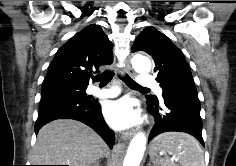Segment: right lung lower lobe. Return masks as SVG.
Instances as JSON below:
<instances>
[{"mask_svg":"<svg viewBox=\"0 0 236 166\" xmlns=\"http://www.w3.org/2000/svg\"><path fill=\"white\" fill-rule=\"evenodd\" d=\"M78 87L66 81L43 85L39 114L34 127L36 134L50 121L74 119L94 129L112 148L115 134L105 123L100 104L94 99L78 95L76 91Z\"/></svg>","mask_w":236,"mask_h":166,"instance_id":"obj_1","label":"right lung lower lobe"}]
</instances>
